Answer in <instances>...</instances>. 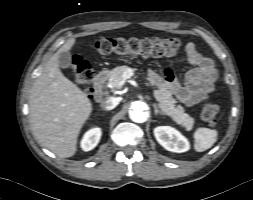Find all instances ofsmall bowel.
I'll list each match as a JSON object with an SVG mask.
<instances>
[{
    "instance_id": "c3829d8e",
    "label": "small bowel",
    "mask_w": 253,
    "mask_h": 200,
    "mask_svg": "<svg viewBox=\"0 0 253 200\" xmlns=\"http://www.w3.org/2000/svg\"><path fill=\"white\" fill-rule=\"evenodd\" d=\"M188 63L192 69L187 74L185 85L176 82L171 73L167 77L175 83L179 99L194 104L207 99L214 91L217 73L213 61L203 56L193 44L188 46Z\"/></svg>"
}]
</instances>
